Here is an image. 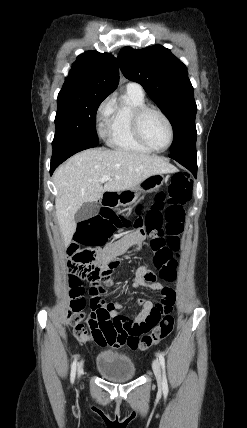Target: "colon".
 <instances>
[{"instance_id": "1", "label": "colon", "mask_w": 247, "mask_h": 428, "mask_svg": "<svg viewBox=\"0 0 247 428\" xmlns=\"http://www.w3.org/2000/svg\"><path fill=\"white\" fill-rule=\"evenodd\" d=\"M192 180L185 173L172 176L167 195L159 194L157 202L146 208V217H111L110 213L118 212L117 204H106L105 213H94L87 217L74 235V242L87 245L80 248L75 244L69 254L74 262L76 272L90 284V291L96 298L105 292V283L109 280L111 267L101 263L99 255L93 251L100 239H117L118 232H127L128 226H136L146 232L150 240V249L153 253V264L159 271V276L173 282L177 278V253L180 247V235L184 228L185 204L190 200ZM165 205L164 214L162 208ZM71 304L69 318L72 322L74 334H88L82 323L83 309L86 305L83 297L84 290L80 280L72 276ZM134 305H144L151 308L150 317H139L137 320L125 321L121 318H111L108 306L91 299L92 313L88 324L96 341L105 340L109 345H127L132 350H146L151 345L165 339L173 330L174 316L171 315L174 301L171 298H155L154 300H134ZM162 316H164L162 318Z\"/></svg>"}]
</instances>
